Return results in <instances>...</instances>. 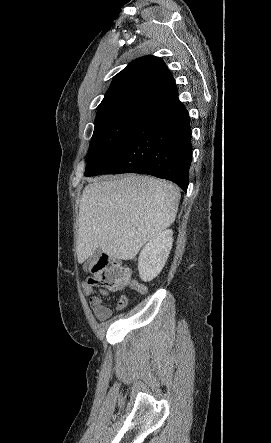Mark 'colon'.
Here are the masks:
<instances>
[{"instance_id": "1", "label": "colon", "mask_w": 271, "mask_h": 443, "mask_svg": "<svg viewBox=\"0 0 271 443\" xmlns=\"http://www.w3.org/2000/svg\"><path fill=\"white\" fill-rule=\"evenodd\" d=\"M131 269L123 265L119 260L101 257L92 266V274L87 283L90 286H100L109 291H121L130 286Z\"/></svg>"}]
</instances>
